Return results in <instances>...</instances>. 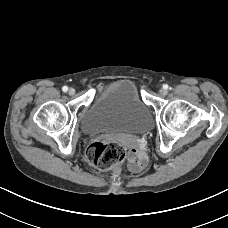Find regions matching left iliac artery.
Wrapping results in <instances>:
<instances>
[{
	"label": "left iliac artery",
	"mask_w": 228,
	"mask_h": 228,
	"mask_svg": "<svg viewBox=\"0 0 228 228\" xmlns=\"http://www.w3.org/2000/svg\"><path fill=\"white\" fill-rule=\"evenodd\" d=\"M164 88H165V89H167V88H168V85H167V84H166V85H164Z\"/></svg>",
	"instance_id": "obj_1"
}]
</instances>
